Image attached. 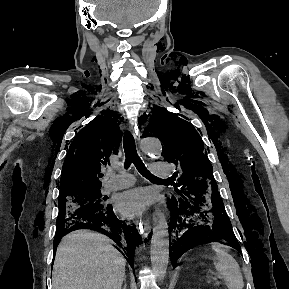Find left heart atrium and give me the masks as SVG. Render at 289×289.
Instances as JSON below:
<instances>
[{
	"label": "left heart atrium",
	"mask_w": 289,
	"mask_h": 289,
	"mask_svg": "<svg viewBox=\"0 0 289 289\" xmlns=\"http://www.w3.org/2000/svg\"><path fill=\"white\" fill-rule=\"evenodd\" d=\"M153 196L148 189L136 188L119 194L115 200L116 210L125 217L141 215L151 204Z\"/></svg>",
	"instance_id": "39dd6f15"
}]
</instances>
